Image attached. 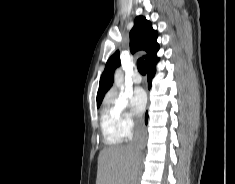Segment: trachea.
I'll list each match as a JSON object with an SVG mask.
<instances>
[{
  "label": "trachea",
  "mask_w": 235,
  "mask_h": 184,
  "mask_svg": "<svg viewBox=\"0 0 235 184\" xmlns=\"http://www.w3.org/2000/svg\"><path fill=\"white\" fill-rule=\"evenodd\" d=\"M137 68L140 74L145 75L146 71H145V63L143 59H139L137 61Z\"/></svg>",
  "instance_id": "3493384b"
}]
</instances>
